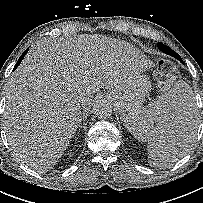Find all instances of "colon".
Masks as SVG:
<instances>
[{"label":"colon","mask_w":203,"mask_h":203,"mask_svg":"<svg viewBox=\"0 0 203 203\" xmlns=\"http://www.w3.org/2000/svg\"><path fill=\"white\" fill-rule=\"evenodd\" d=\"M175 77H176V68L174 64L169 60L165 59L160 60L157 65L156 72L158 87L161 90H165L166 88H168L170 83L175 79Z\"/></svg>","instance_id":"1"}]
</instances>
